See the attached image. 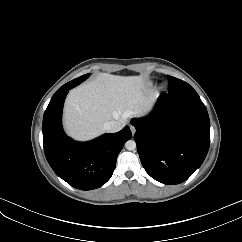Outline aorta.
<instances>
[{
  "label": "aorta",
  "instance_id": "obj_1",
  "mask_svg": "<svg viewBox=\"0 0 242 242\" xmlns=\"http://www.w3.org/2000/svg\"><path fill=\"white\" fill-rule=\"evenodd\" d=\"M125 147L127 150L132 151L136 148V142L130 139L125 143Z\"/></svg>",
  "mask_w": 242,
  "mask_h": 242
}]
</instances>
